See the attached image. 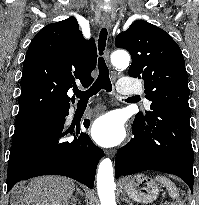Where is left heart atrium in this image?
<instances>
[{
    "instance_id": "obj_1",
    "label": "left heart atrium",
    "mask_w": 199,
    "mask_h": 205,
    "mask_svg": "<svg viewBox=\"0 0 199 205\" xmlns=\"http://www.w3.org/2000/svg\"><path fill=\"white\" fill-rule=\"evenodd\" d=\"M123 119L116 112L98 117L92 124L91 136L100 145L111 147L119 144L125 137Z\"/></svg>"
}]
</instances>
